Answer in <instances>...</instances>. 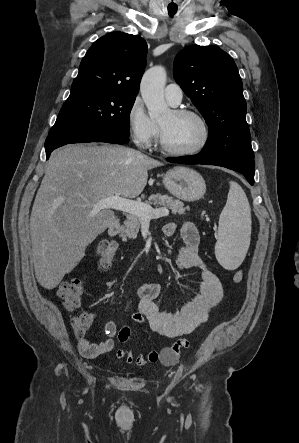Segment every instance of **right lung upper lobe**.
Returning a JSON list of instances; mask_svg holds the SVG:
<instances>
[{"label": "right lung upper lobe", "mask_w": 299, "mask_h": 443, "mask_svg": "<svg viewBox=\"0 0 299 443\" xmlns=\"http://www.w3.org/2000/svg\"><path fill=\"white\" fill-rule=\"evenodd\" d=\"M146 53L147 44L138 35L106 34L83 57L71 90L92 88L137 96Z\"/></svg>", "instance_id": "1"}]
</instances>
